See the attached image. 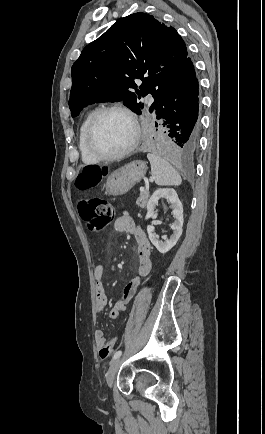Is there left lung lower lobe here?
I'll return each mask as SVG.
<instances>
[{"instance_id": "obj_1", "label": "left lung lower lobe", "mask_w": 265, "mask_h": 434, "mask_svg": "<svg viewBox=\"0 0 265 434\" xmlns=\"http://www.w3.org/2000/svg\"><path fill=\"white\" fill-rule=\"evenodd\" d=\"M156 118L163 119L171 140L154 143L151 149L162 154L176 151L184 155L196 150L201 128L199 83L189 56L159 98Z\"/></svg>"}]
</instances>
